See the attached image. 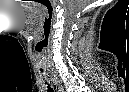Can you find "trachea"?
I'll use <instances>...</instances> for the list:
<instances>
[{"instance_id":"3493384b","label":"trachea","mask_w":129,"mask_h":92,"mask_svg":"<svg viewBox=\"0 0 129 92\" xmlns=\"http://www.w3.org/2000/svg\"><path fill=\"white\" fill-rule=\"evenodd\" d=\"M45 84H48V83L45 81ZM47 87H48V92H54L53 89L49 86V84Z\"/></svg>"}]
</instances>
